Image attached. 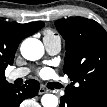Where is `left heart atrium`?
I'll use <instances>...</instances> for the list:
<instances>
[{"label":"left heart atrium","mask_w":107,"mask_h":107,"mask_svg":"<svg viewBox=\"0 0 107 107\" xmlns=\"http://www.w3.org/2000/svg\"><path fill=\"white\" fill-rule=\"evenodd\" d=\"M48 73H49V70H48V69H43V70H41L40 75H41L42 77H45V76L48 75Z\"/></svg>","instance_id":"left-heart-atrium-1"}]
</instances>
